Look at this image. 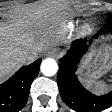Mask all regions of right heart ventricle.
I'll list each match as a JSON object with an SVG mask.
<instances>
[{"label": "right heart ventricle", "mask_w": 112, "mask_h": 112, "mask_svg": "<svg viewBox=\"0 0 112 112\" xmlns=\"http://www.w3.org/2000/svg\"><path fill=\"white\" fill-rule=\"evenodd\" d=\"M66 27H67L68 29H72V28L75 27V25H74L73 22H69V23L66 25Z\"/></svg>", "instance_id": "e07e8e85"}]
</instances>
